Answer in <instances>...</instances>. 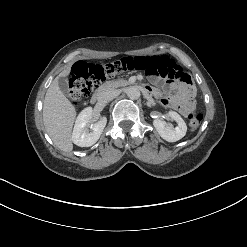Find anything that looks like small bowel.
<instances>
[{
	"label": "small bowel",
	"instance_id": "small-bowel-1",
	"mask_svg": "<svg viewBox=\"0 0 247 247\" xmlns=\"http://www.w3.org/2000/svg\"><path fill=\"white\" fill-rule=\"evenodd\" d=\"M176 70L183 71L176 63ZM143 72L149 78L150 82L156 86L168 84L172 94L162 95L156 88L148 87L151 94L161 97L160 102L163 106L178 111L183 116L195 111L194 89L185 82H175L170 75L168 67L165 65H155L146 67Z\"/></svg>",
	"mask_w": 247,
	"mask_h": 247
}]
</instances>
